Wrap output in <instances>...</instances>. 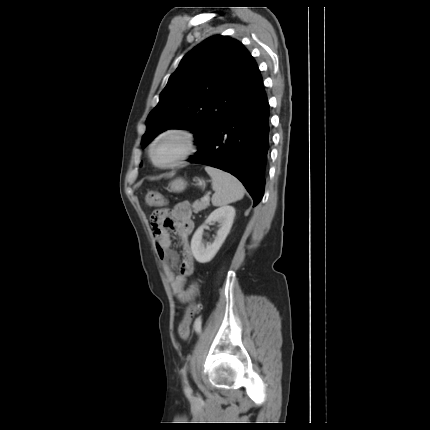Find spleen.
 Masks as SVG:
<instances>
[{
  "instance_id": "obj_1",
  "label": "spleen",
  "mask_w": 430,
  "mask_h": 430,
  "mask_svg": "<svg viewBox=\"0 0 430 430\" xmlns=\"http://www.w3.org/2000/svg\"><path fill=\"white\" fill-rule=\"evenodd\" d=\"M205 171L212 179L215 193L211 202L214 206H225L243 198L245 189L231 173L212 166H206Z\"/></svg>"
}]
</instances>
